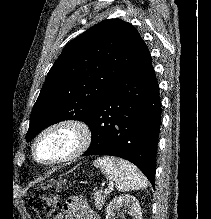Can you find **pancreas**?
Returning <instances> with one entry per match:
<instances>
[{"mask_svg":"<svg viewBox=\"0 0 211 219\" xmlns=\"http://www.w3.org/2000/svg\"><path fill=\"white\" fill-rule=\"evenodd\" d=\"M93 195H94L93 200L95 201L96 209L102 210V206L104 205V202L106 201V196L102 195L99 192H95Z\"/></svg>","mask_w":211,"mask_h":219,"instance_id":"pancreas-1","label":"pancreas"}]
</instances>
